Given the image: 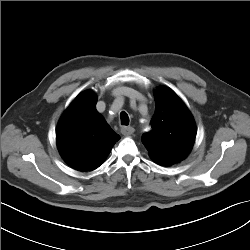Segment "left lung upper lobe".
<instances>
[{"instance_id":"left-lung-upper-lobe-1","label":"left lung upper lobe","mask_w":250,"mask_h":250,"mask_svg":"<svg viewBox=\"0 0 250 250\" xmlns=\"http://www.w3.org/2000/svg\"><path fill=\"white\" fill-rule=\"evenodd\" d=\"M155 104L152 130L142 142L154 161L179 162L194 144V119L178 95L167 87L157 89Z\"/></svg>"}]
</instances>
